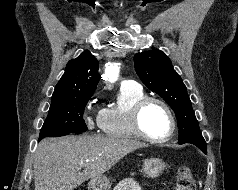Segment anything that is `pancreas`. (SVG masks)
<instances>
[{"label":"pancreas","instance_id":"cf45deb5","mask_svg":"<svg viewBox=\"0 0 238 190\" xmlns=\"http://www.w3.org/2000/svg\"><path fill=\"white\" fill-rule=\"evenodd\" d=\"M113 190H142V188L133 178H127L120 181Z\"/></svg>","mask_w":238,"mask_h":190}]
</instances>
